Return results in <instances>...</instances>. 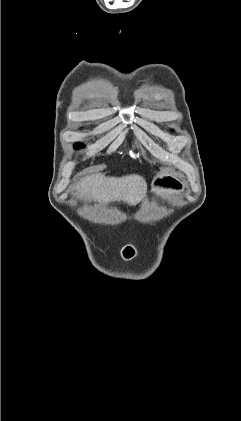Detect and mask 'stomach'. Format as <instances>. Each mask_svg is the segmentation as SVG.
Here are the masks:
<instances>
[{
	"label": "stomach",
	"instance_id": "obj_1",
	"mask_svg": "<svg viewBox=\"0 0 241 421\" xmlns=\"http://www.w3.org/2000/svg\"><path fill=\"white\" fill-rule=\"evenodd\" d=\"M184 190V182L171 174L159 173L152 182V191L159 196L181 194Z\"/></svg>",
	"mask_w": 241,
	"mask_h": 421
}]
</instances>
